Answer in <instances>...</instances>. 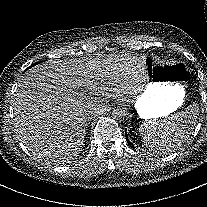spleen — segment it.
I'll list each match as a JSON object with an SVG mask.
<instances>
[{
    "mask_svg": "<svg viewBox=\"0 0 207 207\" xmlns=\"http://www.w3.org/2000/svg\"><path fill=\"white\" fill-rule=\"evenodd\" d=\"M200 116V109L191 106L185 113L172 115L168 120L147 121L137 133V142L158 156L172 153L189 139L191 132L197 129Z\"/></svg>",
    "mask_w": 207,
    "mask_h": 207,
    "instance_id": "3e777b00",
    "label": "spleen"
}]
</instances>
